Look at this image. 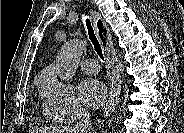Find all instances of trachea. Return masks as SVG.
<instances>
[{"label": "trachea", "mask_w": 184, "mask_h": 133, "mask_svg": "<svg viewBox=\"0 0 184 133\" xmlns=\"http://www.w3.org/2000/svg\"><path fill=\"white\" fill-rule=\"evenodd\" d=\"M86 26L88 29L89 39L91 40V42L95 48V51L97 52V54L101 58V60L104 61V56H103V52H102V45H101L99 39L97 38L89 19H86ZM104 45H105V42H104Z\"/></svg>", "instance_id": "1"}]
</instances>
